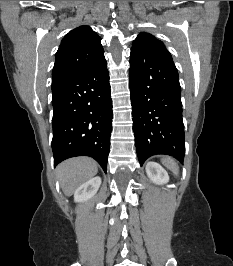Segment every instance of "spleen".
I'll use <instances>...</instances> for the list:
<instances>
[{
	"label": "spleen",
	"instance_id": "3e777b00",
	"mask_svg": "<svg viewBox=\"0 0 233 266\" xmlns=\"http://www.w3.org/2000/svg\"><path fill=\"white\" fill-rule=\"evenodd\" d=\"M163 164L167 168H169L170 170H172L174 174H176V175L178 174V167H177V165L172 160H170V159H164L163 160Z\"/></svg>",
	"mask_w": 233,
	"mask_h": 266
}]
</instances>
